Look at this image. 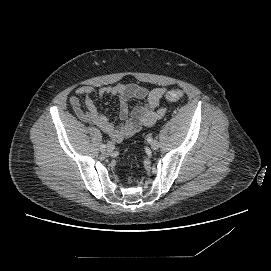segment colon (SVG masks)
<instances>
[{"label": "colon", "mask_w": 271, "mask_h": 271, "mask_svg": "<svg viewBox=\"0 0 271 271\" xmlns=\"http://www.w3.org/2000/svg\"><path fill=\"white\" fill-rule=\"evenodd\" d=\"M182 97H183V92L178 89L169 90L166 93L167 100L171 102L179 101L180 99H182Z\"/></svg>", "instance_id": "obj_1"}]
</instances>
